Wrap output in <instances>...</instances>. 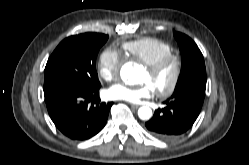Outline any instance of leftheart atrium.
<instances>
[{
  "label": "left heart atrium",
  "instance_id": "1",
  "mask_svg": "<svg viewBox=\"0 0 249 165\" xmlns=\"http://www.w3.org/2000/svg\"><path fill=\"white\" fill-rule=\"evenodd\" d=\"M154 87L147 81L138 86H129L124 83H115L107 90V96L115 100H123L131 103H138L144 98L150 97Z\"/></svg>",
  "mask_w": 249,
  "mask_h": 165
}]
</instances>
